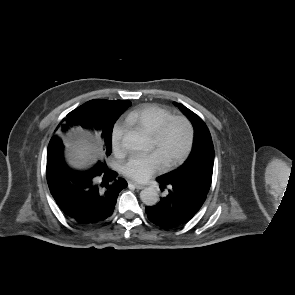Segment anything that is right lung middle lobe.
Masks as SVG:
<instances>
[{
	"instance_id": "1",
	"label": "right lung middle lobe",
	"mask_w": 295,
	"mask_h": 295,
	"mask_svg": "<svg viewBox=\"0 0 295 295\" xmlns=\"http://www.w3.org/2000/svg\"><path fill=\"white\" fill-rule=\"evenodd\" d=\"M130 105V101L122 100L115 112L102 113L96 116V114L93 113L95 107L86 106L85 104H83L72 111L71 119L75 124L84 127H88L92 124V131H100L101 135L105 138L106 141V155H110L112 150V130L114 123ZM101 164H104V162L99 161L96 165ZM58 169H60V167L56 168L50 161H48L46 174L47 172L56 173Z\"/></svg>"
}]
</instances>
